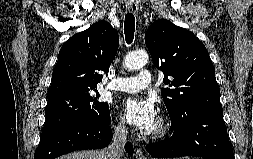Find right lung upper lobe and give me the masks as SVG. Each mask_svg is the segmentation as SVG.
Instances as JSON below:
<instances>
[{
  "mask_svg": "<svg viewBox=\"0 0 253 159\" xmlns=\"http://www.w3.org/2000/svg\"><path fill=\"white\" fill-rule=\"evenodd\" d=\"M119 46V37L107 21L91 25L72 36L59 51L48 98L92 91L108 71Z\"/></svg>",
  "mask_w": 253,
  "mask_h": 159,
  "instance_id": "right-lung-upper-lobe-1",
  "label": "right lung upper lobe"
}]
</instances>
